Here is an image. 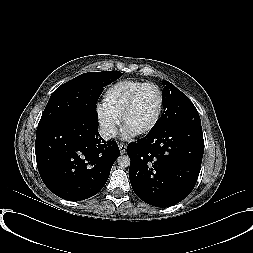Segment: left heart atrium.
<instances>
[{
	"instance_id": "left-heart-atrium-1",
	"label": "left heart atrium",
	"mask_w": 253,
	"mask_h": 253,
	"mask_svg": "<svg viewBox=\"0 0 253 253\" xmlns=\"http://www.w3.org/2000/svg\"><path fill=\"white\" fill-rule=\"evenodd\" d=\"M123 134H124V136H132V135H133V131L130 130L129 128H127V127L125 126L124 131H123Z\"/></svg>"
}]
</instances>
